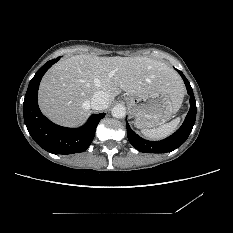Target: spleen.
<instances>
[{
    "label": "spleen",
    "instance_id": "spleen-1",
    "mask_svg": "<svg viewBox=\"0 0 233 233\" xmlns=\"http://www.w3.org/2000/svg\"><path fill=\"white\" fill-rule=\"evenodd\" d=\"M180 118L153 129H142L141 133L148 139L160 140L172 134L178 127Z\"/></svg>",
    "mask_w": 233,
    "mask_h": 233
}]
</instances>
